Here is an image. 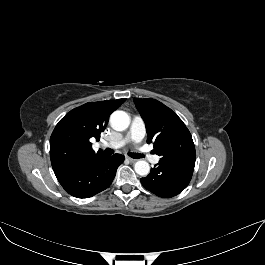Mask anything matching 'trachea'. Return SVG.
Wrapping results in <instances>:
<instances>
[{
  "instance_id": "trachea-1",
  "label": "trachea",
  "mask_w": 265,
  "mask_h": 265,
  "mask_svg": "<svg viewBox=\"0 0 265 265\" xmlns=\"http://www.w3.org/2000/svg\"><path fill=\"white\" fill-rule=\"evenodd\" d=\"M105 152L107 154H113L114 153V150L111 149V148H106L105 149ZM128 155L134 159H139V158H143L144 155L143 154H140V153H132V152H129Z\"/></svg>"
}]
</instances>
